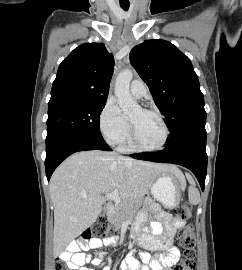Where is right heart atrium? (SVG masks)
<instances>
[{
    "instance_id": "d8ad5b80",
    "label": "right heart atrium",
    "mask_w": 242,
    "mask_h": 270,
    "mask_svg": "<svg viewBox=\"0 0 242 270\" xmlns=\"http://www.w3.org/2000/svg\"><path fill=\"white\" fill-rule=\"evenodd\" d=\"M99 129L111 145H121L130 132V124L113 98H108L99 115Z\"/></svg>"
}]
</instances>
